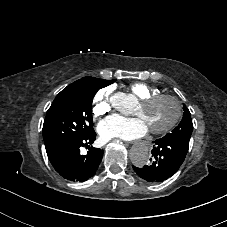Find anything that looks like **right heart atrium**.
Returning <instances> with one entry per match:
<instances>
[{"label": "right heart atrium", "instance_id": "d8ad5b80", "mask_svg": "<svg viewBox=\"0 0 227 227\" xmlns=\"http://www.w3.org/2000/svg\"><path fill=\"white\" fill-rule=\"evenodd\" d=\"M111 89L109 87L103 88L97 92L94 101L95 106L93 112L97 116L104 115L111 110L110 102Z\"/></svg>", "mask_w": 227, "mask_h": 227}]
</instances>
